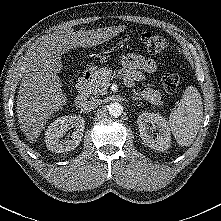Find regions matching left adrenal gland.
Here are the masks:
<instances>
[{
	"label": "left adrenal gland",
	"instance_id": "left-adrenal-gland-1",
	"mask_svg": "<svg viewBox=\"0 0 221 221\" xmlns=\"http://www.w3.org/2000/svg\"><path fill=\"white\" fill-rule=\"evenodd\" d=\"M132 99H133L134 101L140 100V98H138V97H132Z\"/></svg>",
	"mask_w": 221,
	"mask_h": 221
}]
</instances>
